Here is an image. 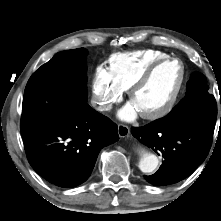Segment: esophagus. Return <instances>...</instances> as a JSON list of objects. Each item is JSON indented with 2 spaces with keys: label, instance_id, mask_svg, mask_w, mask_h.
I'll return each mask as SVG.
<instances>
[{
  "label": "esophagus",
  "instance_id": "1",
  "mask_svg": "<svg viewBox=\"0 0 221 221\" xmlns=\"http://www.w3.org/2000/svg\"><path fill=\"white\" fill-rule=\"evenodd\" d=\"M117 130H118V135L121 138L128 137L130 134L129 127L123 124H119Z\"/></svg>",
  "mask_w": 221,
  "mask_h": 221
}]
</instances>
